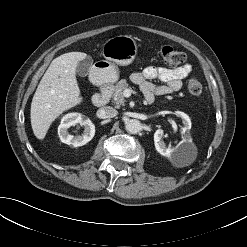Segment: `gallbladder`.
I'll list each match as a JSON object with an SVG mask.
<instances>
[{"instance_id": "bac80fb5", "label": "gallbladder", "mask_w": 247, "mask_h": 247, "mask_svg": "<svg viewBox=\"0 0 247 247\" xmlns=\"http://www.w3.org/2000/svg\"><path fill=\"white\" fill-rule=\"evenodd\" d=\"M93 59L91 57H86L85 59L79 61L76 72L79 76H87L92 68Z\"/></svg>"}]
</instances>
